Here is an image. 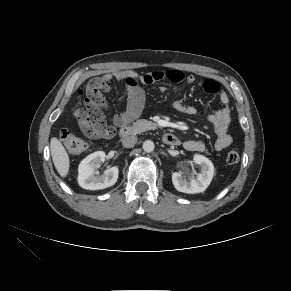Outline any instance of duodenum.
I'll return each mask as SVG.
<instances>
[{
  "label": "duodenum",
  "mask_w": 291,
  "mask_h": 291,
  "mask_svg": "<svg viewBox=\"0 0 291 291\" xmlns=\"http://www.w3.org/2000/svg\"><path fill=\"white\" fill-rule=\"evenodd\" d=\"M134 133L133 127H131L128 124L122 125L119 131V135L121 138H128ZM163 141L164 143L168 145H177L178 139L174 134L166 133L163 135Z\"/></svg>",
  "instance_id": "obj_1"
}]
</instances>
